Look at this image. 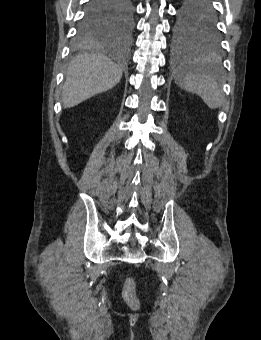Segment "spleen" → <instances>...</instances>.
Instances as JSON below:
<instances>
[{
    "instance_id": "spleen-1",
    "label": "spleen",
    "mask_w": 261,
    "mask_h": 340,
    "mask_svg": "<svg viewBox=\"0 0 261 340\" xmlns=\"http://www.w3.org/2000/svg\"><path fill=\"white\" fill-rule=\"evenodd\" d=\"M176 83L185 91L199 95L210 109L223 105L224 97L217 82L195 64L180 68Z\"/></svg>"
}]
</instances>
